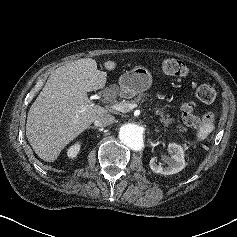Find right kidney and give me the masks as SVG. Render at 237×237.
Here are the masks:
<instances>
[{
    "instance_id": "right-kidney-1",
    "label": "right kidney",
    "mask_w": 237,
    "mask_h": 237,
    "mask_svg": "<svg viewBox=\"0 0 237 237\" xmlns=\"http://www.w3.org/2000/svg\"><path fill=\"white\" fill-rule=\"evenodd\" d=\"M79 151H80V144L77 142L67 150V156L69 158H74L77 156Z\"/></svg>"
}]
</instances>
